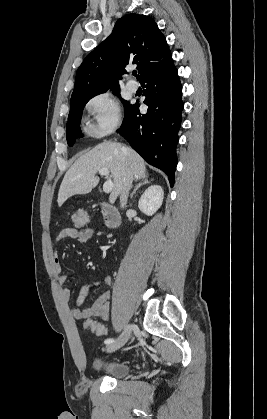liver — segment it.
Listing matches in <instances>:
<instances>
[{
  "label": "liver",
  "instance_id": "liver-1",
  "mask_svg": "<svg viewBox=\"0 0 267 419\" xmlns=\"http://www.w3.org/2000/svg\"><path fill=\"white\" fill-rule=\"evenodd\" d=\"M101 168H108L113 177L111 203L120 194L128 169L136 180L147 177L145 162L133 149L116 142H103L80 156L67 170L58 192V205L61 206L71 196L90 193L99 183L96 174Z\"/></svg>",
  "mask_w": 267,
  "mask_h": 419
}]
</instances>
